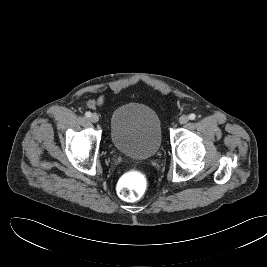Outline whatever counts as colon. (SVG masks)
Listing matches in <instances>:
<instances>
[{
    "instance_id": "1",
    "label": "colon",
    "mask_w": 267,
    "mask_h": 267,
    "mask_svg": "<svg viewBox=\"0 0 267 267\" xmlns=\"http://www.w3.org/2000/svg\"><path fill=\"white\" fill-rule=\"evenodd\" d=\"M147 187V179L143 172L132 170L122 176L118 184V194L126 201L140 199Z\"/></svg>"
}]
</instances>
